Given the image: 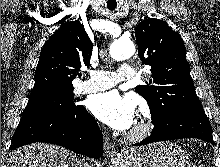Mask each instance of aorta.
<instances>
[{"label": "aorta", "mask_w": 220, "mask_h": 167, "mask_svg": "<svg viewBox=\"0 0 220 167\" xmlns=\"http://www.w3.org/2000/svg\"><path fill=\"white\" fill-rule=\"evenodd\" d=\"M135 52L134 43L130 40H116L110 47V55L117 61L130 58Z\"/></svg>", "instance_id": "762f6f07"}]
</instances>
